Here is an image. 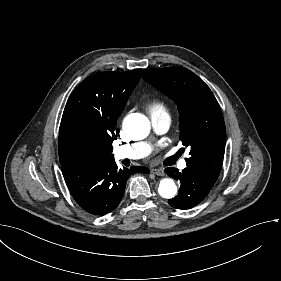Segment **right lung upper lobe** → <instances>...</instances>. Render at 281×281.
<instances>
[{
    "label": "right lung upper lobe",
    "mask_w": 281,
    "mask_h": 281,
    "mask_svg": "<svg viewBox=\"0 0 281 281\" xmlns=\"http://www.w3.org/2000/svg\"><path fill=\"white\" fill-rule=\"evenodd\" d=\"M141 69L100 72L87 77L72 92L61 119L60 161H113L112 142L118 117L140 80Z\"/></svg>",
    "instance_id": "right-lung-upper-lobe-1"
}]
</instances>
